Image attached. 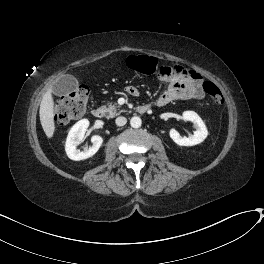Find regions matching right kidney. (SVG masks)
Returning <instances> with one entry per match:
<instances>
[{"mask_svg":"<svg viewBox=\"0 0 264 264\" xmlns=\"http://www.w3.org/2000/svg\"><path fill=\"white\" fill-rule=\"evenodd\" d=\"M88 126L89 121L87 119H82L70 129L65 144V151L70 159L79 161L92 157L102 145V137L94 135L91 138V147H85L83 151L76 148V145L84 140V135Z\"/></svg>","mask_w":264,"mask_h":264,"instance_id":"1","label":"right kidney"}]
</instances>
